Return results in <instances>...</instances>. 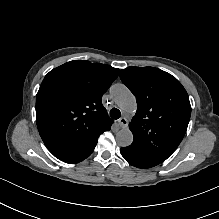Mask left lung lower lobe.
<instances>
[{
  "label": "left lung lower lobe",
  "instance_id": "1",
  "mask_svg": "<svg viewBox=\"0 0 219 219\" xmlns=\"http://www.w3.org/2000/svg\"><path fill=\"white\" fill-rule=\"evenodd\" d=\"M120 152L130 165L137 168H151L163 162L150 155H147L132 145L128 147H121Z\"/></svg>",
  "mask_w": 219,
  "mask_h": 219
}]
</instances>
